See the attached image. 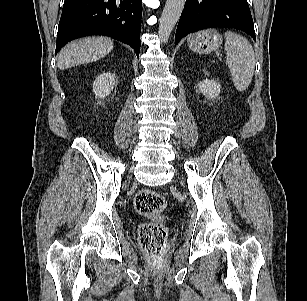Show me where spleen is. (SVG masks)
I'll return each instance as SVG.
<instances>
[{
  "label": "spleen",
  "mask_w": 307,
  "mask_h": 301,
  "mask_svg": "<svg viewBox=\"0 0 307 301\" xmlns=\"http://www.w3.org/2000/svg\"><path fill=\"white\" fill-rule=\"evenodd\" d=\"M228 65L235 88L244 91L248 88L254 75L255 55L250 42L243 36L227 31L224 34Z\"/></svg>",
  "instance_id": "obj_1"
}]
</instances>
